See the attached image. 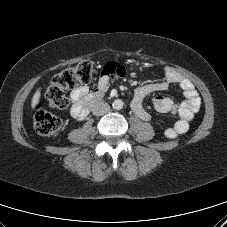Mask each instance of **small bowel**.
<instances>
[{"mask_svg": "<svg viewBox=\"0 0 227 227\" xmlns=\"http://www.w3.org/2000/svg\"><path fill=\"white\" fill-rule=\"evenodd\" d=\"M124 73V68L115 62L105 64L94 92H91L87 86L77 87L71 92L70 97L73 102L71 115L75 119H83L87 115L86 105L89 99L96 95L102 96L111 82L122 77ZM164 74V81L146 84L135 89L131 109L140 119L144 121L150 120L151 115L143 105L144 99L150 94L167 90L170 84H177L185 97L182 102H175L171 98L160 95L153 99L157 112L171 113L178 116L172 127L164 132L168 139H175L188 131L190 122L200 108L201 99L193 83L175 69L167 66L164 68Z\"/></svg>", "mask_w": 227, "mask_h": 227, "instance_id": "c3829d8e", "label": "small bowel"}]
</instances>
